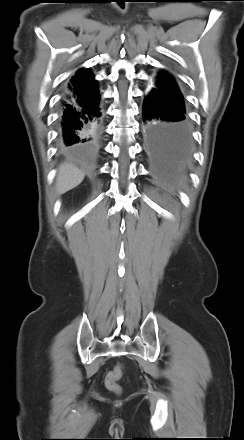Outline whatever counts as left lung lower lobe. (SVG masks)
Wrapping results in <instances>:
<instances>
[{
  "label": "left lung lower lobe",
  "mask_w": 244,
  "mask_h": 440,
  "mask_svg": "<svg viewBox=\"0 0 244 440\" xmlns=\"http://www.w3.org/2000/svg\"><path fill=\"white\" fill-rule=\"evenodd\" d=\"M143 121L147 154L154 166L164 174H184L193 152L185 106L155 86L145 96Z\"/></svg>",
  "instance_id": "obj_1"
}]
</instances>
